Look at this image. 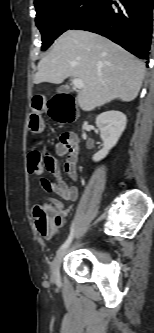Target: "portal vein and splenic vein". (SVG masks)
I'll return each instance as SVG.
<instances>
[{
  "instance_id": "1",
  "label": "portal vein and splenic vein",
  "mask_w": 154,
  "mask_h": 333,
  "mask_svg": "<svg viewBox=\"0 0 154 333\" xmlns=\"http://www.w3.org/2000/svg\"><path fill=\"white\" fill-rule=\"evenodd\" d=\"M73 86L77 89H82L83 88V81L81 79H74L73 80Z\"/></svg>"
}]
</instances>
